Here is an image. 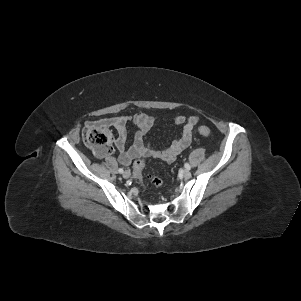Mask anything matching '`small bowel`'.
<instances>
[{
    "label": "small bowel",
    "mask_w": 301,
    "mask_h": 301,
    "mask_svg": "<svg viewBox=\"0 0 301 301\" xmlns=\"http://www.w3.org/2000/svg\"><path fill=\"white\" fill-rule=\"evenodd\" d=\"M132 121L137 127L133 143L127 147V125ZM176 125L182 127L180 137L175 139L168 147L158 149L144 141V136L150 131L155 123V118L146 113L136 114L132 120L126 116L110 117L103 121L116 129L115 148L118 151V160L124 166H129L134 159L141 157L156 158L165 162H173L176 157L190 144L199 117L196 115L185 117L176 115Z\"/></svg>",
    "instance_id": "small-bowel-1"
}]
</instances>
